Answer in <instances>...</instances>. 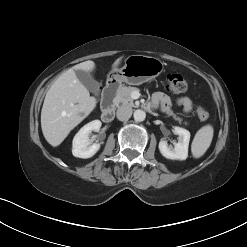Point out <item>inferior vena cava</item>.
I'll return each mask as SVG.
<instances>
[{
	"label": "inferior vena cava",
	"instance_id": "1",
	"mask_svg": "<svg viewBox=\"0 0 247 247\" xmlns=\"http://www.w3.org/2000/svg\"><path fill=\"white\" fill-rule=\"evenodd\" d=\"M116 115L118 120L127 121L132 115V108L130 106L123 105L118 108Z\"/></svg>",
	"mask_w": 247,
	"mask_h": 247
}]
</instances>
